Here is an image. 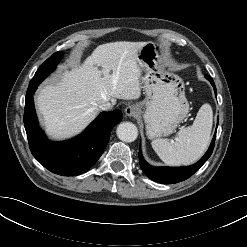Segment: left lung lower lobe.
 Instances as JSON below:
<instances>
[{
  "label": "left lung lower lobe",
  "mask_w": 247,
  "mask_h": 247,
  "mask_svg": "<svg viewBox=\"0 0 247 247\" xmlns=\"http://www.w3.org/2000/svg\"><path fill=\"white\" fill-rule=\"evenodd\" d=\"M205 77L210 81L212 86L214 87L215 95L217 96L216 88L213 79L209 75H205ZM218 126V122H217ZM217 130V129H216ZM216 133L212 139L210 147L208 148L205 155L195 164L188 167H153L149 165L143 158L141 153V148L139 149V162L142 168V171L145 173L147 177L156 181L158 183L163 184H173L184 181L192 176L196 171H198L202 165L207 161V159L211 156L214 148Z\"/></svg>",
  "instance_id": "obj_1"
}]
</instances>
